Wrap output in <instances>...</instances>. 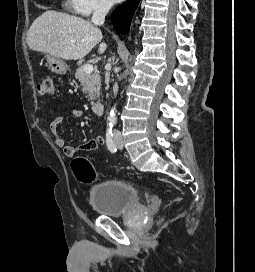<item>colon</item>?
<instances>
[{"instance_id": "1", "label": "colon", "mask_w": 255, "mask_h": 272, "mask_svg": "<svg viewBox=\"0 0 255 272\" xmlns=\"http://www.w3.org/2000/svg\"><path fill=\"white\" fill-rule=\"evenodd\" d=\"M53 77L43 76L38 83V92L42 96L51 97L53 95ZM72 170L75 177L84 184H90L96 177V172L86 156H79L72 162ZM165 217L160 219L163 222Z\"/></svg>"}]
</instances>
